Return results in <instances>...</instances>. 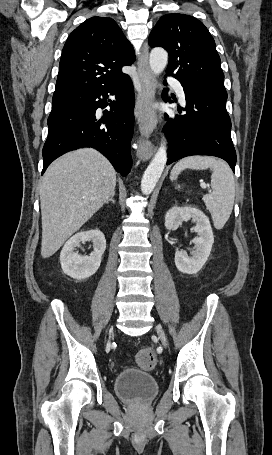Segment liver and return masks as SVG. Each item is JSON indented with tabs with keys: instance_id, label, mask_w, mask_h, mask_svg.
<instances>
[{
	"instance_id": "1",
	"label": "liver",
	"mask_w": 272,
	"mask_h": 455,
	"mask_svg": "<svg viewBox=\"0 0 272 455\" xmlns=\"http://www.w3.org/2000/svg\"><path fill=\"white\" fill-rule=\"evenodd\" d=\"M116 173L91 148L63 155L46 170L40 185L41 256L49 258L110 198Z\"/></svg>"
}]
</instances>
